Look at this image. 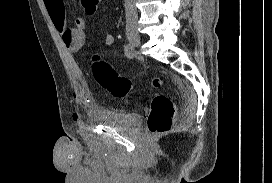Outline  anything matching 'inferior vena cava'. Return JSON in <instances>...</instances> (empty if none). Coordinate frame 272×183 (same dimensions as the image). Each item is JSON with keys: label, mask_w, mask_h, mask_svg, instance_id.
Wrapping results in <instances>:
<instances>
[{"label": "inferior vena cava", "mask_w": 272, "mask_h": 183, "mask_svg": "<svg viewBox=\"0 0 272 183\" xmlns=\"http://www.w3.org/2000/svg\"><path fill=\"white\" fill-rule=\"evenodd\" d=\"M126 30L130 31L137 27L138 14L135 0H125Z\"/></svg>", "instance_id": "obj_1"}]
</instances>
